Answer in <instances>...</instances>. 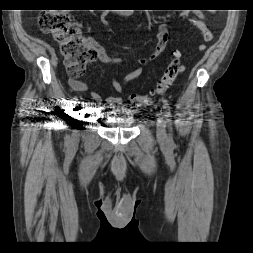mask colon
<instances>
[{
	"label": "colon",
	"instance_id": "colon-1",
	"mask_svg": "<svg viewBox=\"0 0 253 253\" xmlns=\"http://www.w3.org/2000/svg\"><path fill=\"white\" fill-rule=\"evenodd\" d=\"M40 27L53 35L59 45L60 54L65 59L68 73L73 78L83 75L86 65L95 59V49L82 36L80 25L74 22L65 11H53L40 16ZM179 51L173 53V60L167 66L157 85L145 95L131 94L130 102L135 106H150L163 95L175 82L178 75L185 70L180 61Z\"/></svg>",
	"mask_w": 253,
	"mask_h": 253
}]
</instances>
